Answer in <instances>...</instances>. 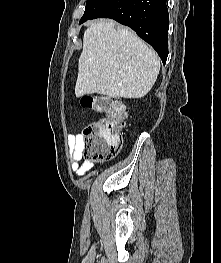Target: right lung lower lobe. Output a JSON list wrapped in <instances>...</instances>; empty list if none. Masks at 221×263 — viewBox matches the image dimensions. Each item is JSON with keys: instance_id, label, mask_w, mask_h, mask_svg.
I'll list each match as a JSON object with an SVG mask.
<instances>
[{"instance_id": "1", "label": "right lung lower lobe", "mask_w": 221, "mask_h": 263, "mask_svg": "<svg viewBox=\"0 0 221 263\" xmlns=\"http://www.w3.org/2000/svg\"><path fill=\"white\" fill-rule=\"evenodd\" d=\"M166 1L109 0L89 19L112 18L129 26L157 51L165 64L168 56L167 36L169 29ZM85 21H80V24Z\"/></svg>"}]
</instances>
